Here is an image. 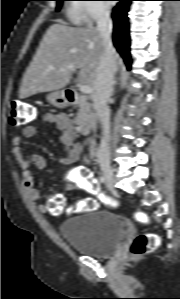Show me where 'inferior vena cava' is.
<instances>
[{
    "instance_id": "obj_1",
    "label": "inferior vena cava",
    "mask_w": 180,
    "mask_h": 299,
    "mask_svg": "<svg viewBox=\"0 0 180 299\" xmlns=\"http://www.w3.org/2000/svg\"><path fill=\"white\" fill-rule=\"evenodd\" d=\"M96 21L97 30L102 36L104 43V53L100 58L97 68L93 93V106L99 116L102 129L101 142L98 148V158L102 160L109 158L111 111L107 103L113 93L116 67L113 59L114 49L111 41L112 20L110 18V11L104 7L99 8Z\"/></svg>"
}]
</instances>
